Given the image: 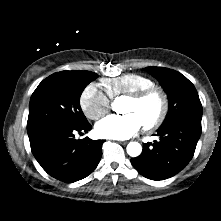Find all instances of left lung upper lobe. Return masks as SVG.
I'll return each mask as SVG.
<instances>
[{"mask_svg": "<svg viewBox=\"0 0 221 221\" xmlns=\"http://www.w3.org/2000/svg\"><path fill=\"white\" fill-rule=\"evenodd\" d=\"M158 79L169 98V110L161 126L179 117L202 118V105L194 85L181 73L164 67H146Z\"/></svg>", "mask_w": 221, "mask_h": 221, "instance_id": "left-lung-upper-lobe-1", "label": "left lung upper lobe"}]
</instances>
